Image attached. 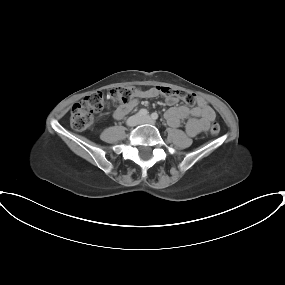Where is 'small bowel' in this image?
I'll return each mask as SVG.
<instances>
[{
    "label": "small bowel",
    "mask_w": 285,
    "mask_h": 285,
    "mask_svg": "<svg viewBox=\"0 0 285 285\" xmlns=\"http://www.w3.org/2000/svg\"><path fill=\"white\" fill-rule=\"evenodd\" d=\"M158 94L159 91L156 87L150 89L136 88L133 98L128 103L118 107L114 111L113 117L122 119L128 111L138 104L139 99L153 98ZM178 102V97L167 96L166 103L170 108L165 112V118L171 126L178 127L182 120L190 117L186 123V132L189 136H196L200 132L207 130L216 117L214 109L203 98H198V104L193 108L183 105L177 106ZM128 105L130 106L128 107Z\"/></svg>",
    "instance_id": "small-bowel-1"
}]
</instances>
